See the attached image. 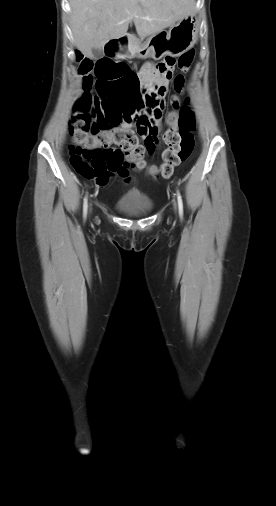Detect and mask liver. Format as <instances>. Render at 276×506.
I'll return each mask as SVG.
<instances>
[{"mask_svg":"<svg viewBox=\"0 0 276 506\" xmlns=\"http://www.w3.org/2000/svg\"><path fill=\"white\" fill-rule=\"evenodd\" d=\"M71 29L77 49L93 58L111 39L126 34L130 22L150 36L192 13L194 0H70Z\"/></svg>","mask_w":276,"mask_h":506,"instance_id":"6515ba94","label":"liver"}]
</instances>
